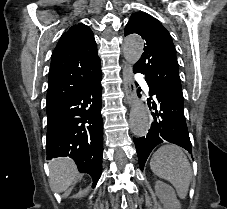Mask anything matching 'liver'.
Here are the masks:
<instances>
[{
  "label": "liver",
  "mask_w": 227,
  "mask_h": 209,
  "mask_svg": "<svg viewBox=\"0 0 227 209\" xmlns=\"http://www.w3.org/2000/svg\"><path fill=\"white\" fill-rule=\"evenodd\" d=\"M50 187L54 193H63L75 181L78 171L72 159H54L49 165Z\"/></svg>",
  "instance_id": "liver-1"
}]
</instances>
